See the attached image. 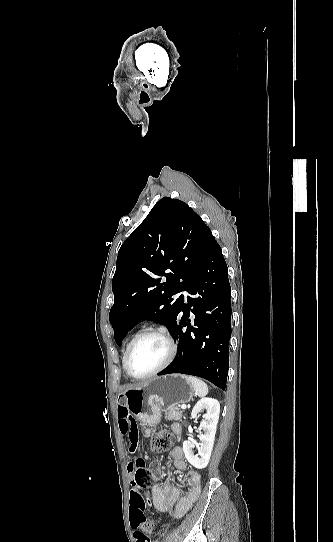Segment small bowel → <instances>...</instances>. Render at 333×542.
Listing matches in <instances>:
<instances>
[{
	"label": "small bowel",
	"mask_w": 333,
	"mask_h": 542,
	"mask_svg": "<svg viewBox=\"0 0 333 542\" xmlns=\"http://www.w3.org/2000/svg\"><path fill=\"white\" fill-rule=\"evenodd\" d=\"M117 416L119 418V430L125 444L129 445L128 449L131 454L135 453L138 448V429L134 418L130 415L127 407L119 405L117 408ZM173 433L180 437L182 428L179 424L172 425ZM146 437L152 435V428L146 427ZM173 467L182 471L186 478V491L179 498L182 492L181 485H175L171 482H166L163 485H156L152 488V500L154 507L160 512L170 513L174 518H180L187 513L192 505L197 501L201 492V477L200 474L191 468L183 457V450L180 446H176L171 451ZM129 470L134 471V463H130ZM138 510L131 499V508L129 512V521L133 530L141 529V522L137 521Z\"/></svg>",
	"instance_id": "small-bowel-1"
}]
</instances>
